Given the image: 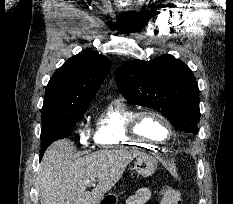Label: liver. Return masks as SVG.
<instances>
[{
	"label": "liver",
	"mask_w": 233,
	"mask_h": 204,
	"mask_svg": "<svg viewBox=\"0 0 233 204\" xmlns=\"http://www.w3.org/2000/svg\"><path fill=\"white\" fill-rule=\"evenodd\" d=\"M69 139L52 143L38 171L41 204H98L120 180L127 165L143 154L135 149H110L74 158ZM90 182H97L90 192Z\"/></svg>",
	"instance_id": "liver-1"
}]
</instances>
